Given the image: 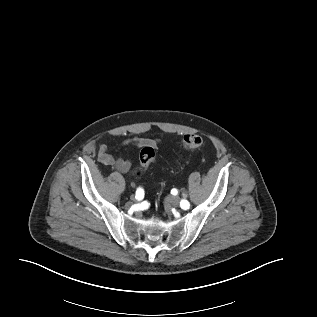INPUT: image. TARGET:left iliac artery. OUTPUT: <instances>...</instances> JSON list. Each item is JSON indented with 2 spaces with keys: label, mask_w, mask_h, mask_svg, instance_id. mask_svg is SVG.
Returning a JSON list of instances; mask_svg holds the SVG:
<instances>
[{
  "label": "left iliac artery",
  "mask_w": 317,
  "mask_h": 317,
  "mask_svg": "<svg viewBox=\"0 0 317 317\" xmlns=\"http://www.w3.org/2000/svg\"><path fill=\"white\" fill-rule=\"evenodd\" d=\"M181 207H182L183 209H188V208L190 207V203H189L187 200L183 199V200L181 201Z\"/></svg>",
  "instance_id": "obj_1"
}]
</instances>
